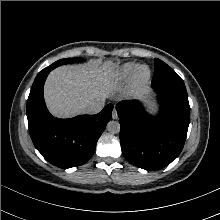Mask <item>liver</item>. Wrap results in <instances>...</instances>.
Instances as JSON below:
<instances>
[{"label": "liver", "mask_w": 220, "mask_h": 220, "mask_svg": "<svg viewBox=\"0 0 220 220\" xmlns=\"http://www.w3.org/2000/svg\"><path fill=\"white\" fill-rule=\"evenodd\" d=\"M115 63L95 61L60 66L49 74L44 98L52 115L61 118L85 113L87 104L105 100L114 88Z\"/></svg>", "instance_id": "obj_1"}]
</instances>
